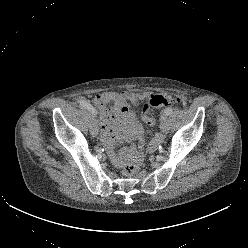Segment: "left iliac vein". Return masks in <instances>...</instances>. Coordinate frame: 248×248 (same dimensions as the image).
Returning <instances> with one entry per match:
<instances>
[{"instance_id": "left-iliac-vein-1", "label": "left iliac vein", "mask_w": 248, "mask_h": 248, "mask_svg": "<svg viewBox=\"0 0 248 248\" xmlns=\"http://www.w3.org/2000/svg\"><path fill=\"white\" fill-rule=\"evenodd\" d=\"M160 128H161L163 133H165V134L168 133L169 124H168L167 115L165 113H163L161 115Z\"/></svg>"}]
</instances>
